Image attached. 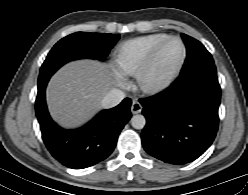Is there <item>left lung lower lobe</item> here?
I'll return each mask as SVG.
<instances>
[{
  "instance_id": "1",
  "label": "left lung lower lobe",
  "mask_w": 248,
  "mask_h": 195,
  "mask_svg": "<svg viewBox=\"0 0 248 195\" xmlns=\"http://www.w3.org/2000/svg\"><path fill=\"white\" fill-rule=\"evenodd\" d=\"M220 100L217 76L178 77L163 93L140 99L147 121L141 135L146 152L171 164L197 159L216 136Z\"/></svg>"
}]
</instances>
